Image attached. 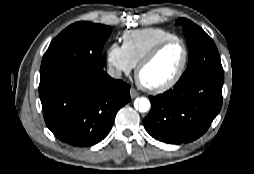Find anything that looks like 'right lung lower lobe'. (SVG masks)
<instances>
[{
    "mask_svg": "<svg viewBox=\"0 0 254 174\" xmlns=\"http://www.w3.org/2000/svg\"><path fill=\"white\" fill-rule=\"evenodd\" d=\"M130 86L106 72L87 71L39 86L44 120L62 142L97 144L109 133L118 110L128 103Z\"/></svg>",
    "mask_w": 254,
    "mask_h": 174,
    "instance_id": "obj_1",
    "label": "right lung lower lobe"
}]
</instances>
